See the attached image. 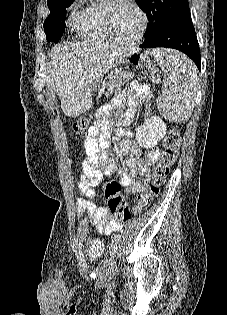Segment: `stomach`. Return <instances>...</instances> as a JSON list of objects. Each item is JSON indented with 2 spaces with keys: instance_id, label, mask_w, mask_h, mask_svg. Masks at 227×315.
<instances>
[{
  "instance_id": "obj_1",
  "label": "stomach",
  "mask_w": 227,
  "mask_h": 315,
  "mask_svg": "<svg viewBox=\"0 0 227 315\" xmlns=\"http://www.w3.org/2000/svg\"><path fill=\"white\" fill-rule=\"evenodd\" d=\"M103 78L106 80H99V77H94V80H90L88 85L94 89V91H111L114 80V70H106L101 73ZM109 76V77H108Z\"/></svg>"
}]
</instances>
